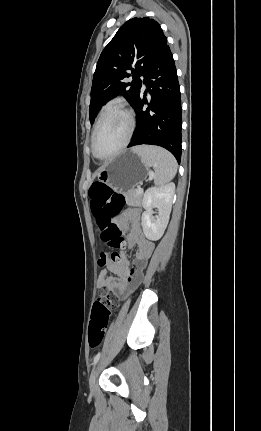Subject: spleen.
Segmentation results:
<instances>
[{"mask_svg": "<svg viewBox=\"0 0 261 431\" xmlns=\"http://www.w3.org/2000/svg\"><path fill=\"white\" fill-rule=\"evenodd\" d=\"M133 150L139 154L148 167L155 171L154 183L163 187L170 182L177 173V162L167 150L155 146H137Z\"/></svg>", "mask_w": 261, "mask_h": 431, "instance_id": "spleen-1", "label": "spleen"}]
</instances>
